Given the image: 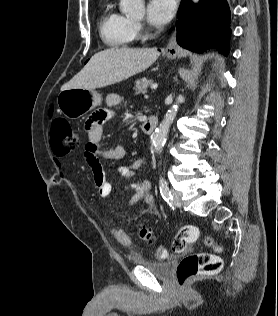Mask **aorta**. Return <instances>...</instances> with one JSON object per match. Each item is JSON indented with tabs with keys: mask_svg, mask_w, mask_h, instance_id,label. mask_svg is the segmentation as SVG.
Here are the masks:
<instances>
[{
	"mask_svg": "<svg viewBox=\"0 0 278 316\" xmlns=\"http://www.w3.org/2000/svg\"><path fill=\"white\" fill-rule=\"evenodd\" d=\"M194 3H198L199 0H192ZM120 10L127 17H142L144 14L143 0H121ZM183 99L181 95L178 96L176 103L167 111L162 123L151 135V141L154 150L157 153H161L169 133L171 124L173 123L179 108V102Z\"/></svg>",
	"mask_w": 278,
	"mask_h": 316,
	"instance_id": "aorta-1",
	"label": "aorta"
}]
</instances>
